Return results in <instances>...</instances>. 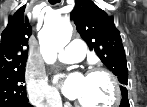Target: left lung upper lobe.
<instances>
[{
  "label": "left lung upper lobe",
  "instance_id": "1",
  "mask_svg": "<svg viewBox=\"0 0 147 107\" xmlns=\"http://www.w3.org/2000/svg\"><path fill=\"white\" fill-rule=\"evenodd\" d=\"M70 13L77 31L90 50L111 70L121 83L122 98L127 97L128 69L120 32L113 18L91 0H75Z\"/></svg>",
  "mask_w": 147,
  "mask_h": 107
}]
</instances>
